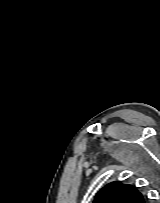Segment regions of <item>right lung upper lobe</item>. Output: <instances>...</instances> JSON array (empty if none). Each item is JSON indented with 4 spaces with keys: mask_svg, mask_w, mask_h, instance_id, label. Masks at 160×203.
I'll return each instance as SVG.
<instances>
[{
    "mask_svg": "<svg viewBox=\"0 0 160 203\" xmlns=\"http://www.w3.org/2000/svg\"><path fill=\"white\" fill-rule=\"evenodd\" d=\"M93 203H145V201L134 186L112 182L97 193Z\"/></svg>",
    "mask_w": 160,
    "mask_h": 203,
    "instance_id": "right-lung-upper-lobe-1",
    "label": "right lung upper lobe"
}]
</instances>
